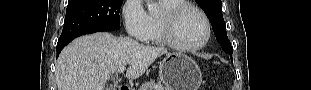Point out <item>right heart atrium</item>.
Returning <instances> with one entry per match:
<instances>
[{
  "label": "right heart atrium",
  "mask_w": 311,
  "mask_h": 90,
  "mask_svg": "<svg viewBox=\"0 0 311 90\" xmlns=\"http://www.w3.org/2000/svg\"><path fill=\"white\" fill-rule=\"evenodd\" d=\"M122 16L128 35L144 41L149 32V14L141 0H127L122 9Z\"/></svg>",
  "instance_id": "1"
}]
</instances>
